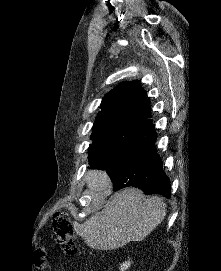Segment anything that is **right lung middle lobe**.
<instances>
[{
  "mask_svg": "<svg viewBox=\"0 0 221 271\" xmlns=\"http://www.w3.org/2000/svg\"><path fill=\"white\" fill-rule=\"evenodd\" d=\"M148 131L134 129H103L93 132L89 146L90 169L106 170L119 163L138 148Z\"/></svg>",
  "mask_w": 221,
  "mask_h": 271,
  "instance_id": "obj_1",
  "label": "right lung middle lobe"
}]
</instances>
